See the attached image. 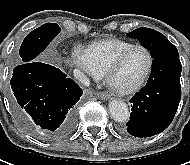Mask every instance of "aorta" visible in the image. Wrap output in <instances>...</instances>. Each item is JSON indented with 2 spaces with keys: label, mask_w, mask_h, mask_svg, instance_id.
<instances>
[{
  "label": "aorta",
  "mask_w": 190,
  "mask_h": 165,
  "mask_svg": "<svg viewBox=\"0 0 190 165\" xmlns=\"http://www.w3.org/2000/svg\"><path fill=\"white\" fill-rule=\"evenodd\" d=\"M109 110L112 118L119 123L126 122L129 119V109L122 100H113L109 104Z\"/></svg>",
  "instance_id": "obj_1"
}]
</instances>
